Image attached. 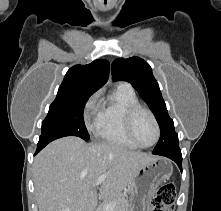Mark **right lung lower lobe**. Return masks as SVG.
I'll return each mask as SVG.
<instances>
[{
    "instance_id": "obj_1",
    "label": "right lung lower lobe",
    "mask_w": 221,
    "mask_h": 211,
    "mask_svg": "<svg viewBox=\"0 0 221 211\" xmlns=\"http://www.w3.org/2000/svg\"><path fill=\"white\" fill-rule=\"evenodd\" d=\"M47 144H48V142L38 143V145H37V150H36V154H37L41 149H43Z\"/></svg>"
}]
</instances>
